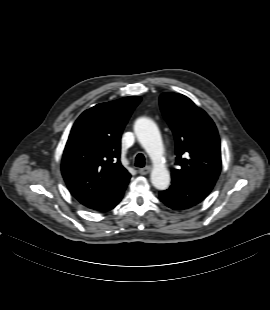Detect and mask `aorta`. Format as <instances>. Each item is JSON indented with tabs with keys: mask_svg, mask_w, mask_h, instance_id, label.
<instances>
[{
	"mask_svg": "<svg viewBox=\"0 0 270 310\" xmlns=\"http://www.w3.org/2000/svg\"><path fill=\"white\" fill-rule=\"evenodd\" d=\"M134 132L138 141L154 162L150 176L152 185L158 190L167 189L170 184V174L161 163L163 144L157 125L151 119L142 117L136 120Z\"/></svg>",
	"mask_w": 270,
	"mask_h": 310,
	"instance_id": "aorta-1",
	"label": "aorta"
}]
</instances>
